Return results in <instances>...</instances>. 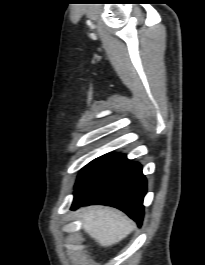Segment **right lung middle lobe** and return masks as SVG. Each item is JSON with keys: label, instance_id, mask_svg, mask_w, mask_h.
Segmentation results:
<instances>
[{"label": "right lung middle lobe", "instance_id": "dd1d6c3e", "mask_svg": "<svg viewBox=\"0 0 205 265\" xmlns=\"http://www.w3.org/2000/svg\"><path fill=\"white\" fill-rule=\"evenodd\" d=\"M96 158L93 161H91L89 164H87L85 167L82 168V170L79 173L78 180L76 182V185L81 181V179L87 174V172L93 167V165L100 159ZM75 185V186H76Z\"/></svg>", "mask_w": 205, "mask_h": 265}]
</instances>
